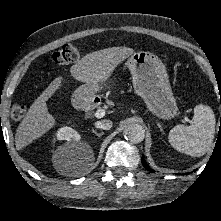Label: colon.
Segmentation results:
<instances>
[{"mask_svg":"<svg viewBox=\"0 0 221 221\" xmlns=\"http://www.w3.org/2000/svg\"><path fill=\"white\" fill-rule=\"evenodd\" d=\"M81 57V49L73 44H64L58 48L49 58V64L69 65L77 62ZM25 106L14 104L11 109L13 120H21L25 115Z\"/></svg>","mask_w":221,"mask_h":221,"instance_id":"1","label":"colon"}]
</instances>
